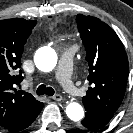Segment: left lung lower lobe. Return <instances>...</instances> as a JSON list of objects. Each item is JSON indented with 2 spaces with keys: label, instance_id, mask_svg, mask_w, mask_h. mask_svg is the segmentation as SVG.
I'll use <instances>...</instances> for the list:
<instances>
[{
  "label": "left lung lower lobe",
  "instance_id": "1",
  "mask_svg": "<svg viewBox=\"0 0 133 133\" xmlns=\"http://www.w3.org/2000/svg\"><path fill=\"white\" fill-rule=\"evenodd\" d=\"M86 116L79 125L83 130L102 129L114 116L113 113L102 112L93 107H85Z\"/></svg>",
  "mask_w": 133,
  "mask_h": 133
}]
</instances>
